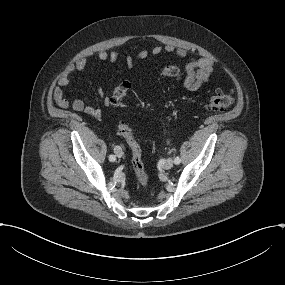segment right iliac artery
I'll return each instance as SVG.
<instances>
[{
    "label": "right iliac artery",
    "mask_w": 285,
    "mask_h": 285,
    "mask_svg": "<svg viewBox=\"0 0 285 285\" xmlns=\"http://www.w3.org/2000/svg\"><path fill=\"white\" fill-rule=\"evenodd\" d=\"M109 160H110L111 162H114V161L116 160V158H115L114 155H110V156H109Z\"/></svg>",
    "instance_id": "right-iliac-artery-1"
}]
</instances>
